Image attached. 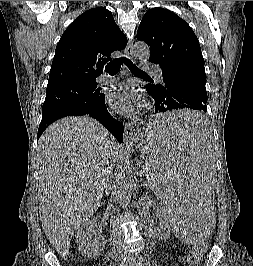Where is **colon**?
Masks as SVG:
<instances>
[{
  "instance_id": "obj_1",
  "label": "colon",
  "mask_w": 253,
  "mask_h": 266,
  "mask_svg": "<svg viewBox=\"0 0 253 266\" xmlns=\"http://www.w3.org/2000/svg\"><path fill=\"white\" fill-rule=\"evenodd\" d=\"M204 251L205 248H193L187 256L188 264L190 266L198 264Z\"/></svg>"
}]
</instances>
